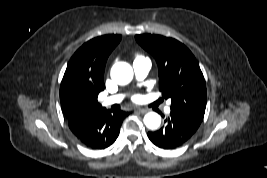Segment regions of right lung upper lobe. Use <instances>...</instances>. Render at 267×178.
<instances>
[{
  "label": "right lung upper lobe",
  "mask_w": 267,
  "mask_h": 178,
  "mask_svg": "<svg viewBox=\"0 0 267 178\" xmlns=\"http://www.w3.org/2000/svg\"><path fill=\"white\" fill-rule=\"evenodd\" d=\"M121 35H104L83 44L71 57L60 86L64 116L102 109L98 94L104 90L107 58Z\"/></svg>",
  "instance_id": "cb5924a9"
}]
</instances>
